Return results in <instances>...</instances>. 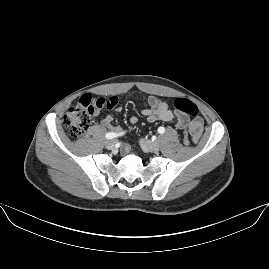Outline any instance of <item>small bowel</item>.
<instances>
[{
    "instance_id": "c3829d8e",
    "label": "small bowel",
    "mask_w": 269,
    "mask_h": 269,
    "mask_svg": "<svg viewBox=\"0 0 269 269\" xmlns=\"http://www.w3.org/2000/svg\"><path fill=\"white\" fill-rule=\"evenodd\" d=\"M148 107L146 109L142 110V113L147 116V120L150 123H154L156 121H165V122H170L174 120V114L177 116L176 123L180 128H185L187 126H191L195 122L199 123L201 128L199 126H196L194 128V131L196 133H199L198 136L194 139V141H197L201 135L202 131V126H203V121L201 118L195 119L193 122L190 123L189 121V115L185 112H182L179 109H176L174 111V114L172 111L169 109L168 104L161 100L158 99L155 96L149 97L147 101ZM138 119L137 117H131L130 122L132 124L137 123ZM100 124L104 127L107 128H112L116 129L114 126V117L112 115H105L101 118ZM123 153H128L129 152V147L126 145L122 148Z\"/></svg>"
}]
</instances>
